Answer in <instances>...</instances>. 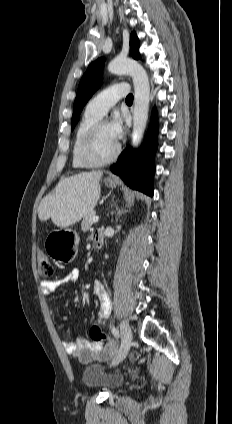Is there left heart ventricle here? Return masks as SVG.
<instances>
[{"mask_svg": "<svg viewBox=\"0 0 232 424\" xmlns=\"http://www.w3.org/2000/svg\"><path fill=\"white\" fill-rule=\"evenodd\" d=\"M117 143L112 136L109 124L103 125L93 146V156L98 159L109 157L115 151Z\"/></svg>", "mask_w": 232, "mask_h": 424, "instance_id": "left-heart-ventricle-1", "label": "left heart ventricle"}]
</instances>
